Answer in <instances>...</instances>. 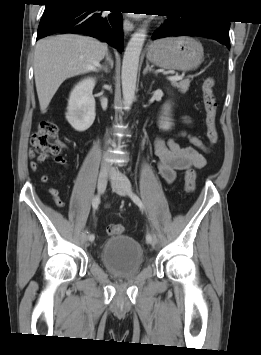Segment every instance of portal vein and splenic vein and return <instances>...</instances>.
<instances>
[{
  "label": "portal vein and splenic vein",
  "instance_id": "portal-vein-and-splenic-vein-1",
  "mask_svg": "<svg viewBox=\"0 0 261 355\" xmlns=\"http://www.w3.org/2000/svg\"><path fill=\"white\" fill-rule=\"evenodd\" d=\"M182 78H183V75H174V76L168 77V79L170 81H178V80H181Z\"/></svg>",
  "mask_w": 261,
  "mask_h": 355
}]
</instances>
